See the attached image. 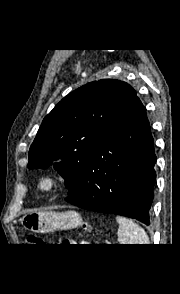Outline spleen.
<instances>
[{
	"label": "spleen",
	"instance_id": "1",
	"mask_svg": "<svg viewBox=\"0 0 180 294\" xmlns=\"http://www.w3.org/2000/svg\"><path fill=\"white\" fill-rule=\"evenodd\" d=\"M119 224L117 236L120 244H149V237L145 230L134 221L122 216H117Z\"/></svg>",
	"mask_w": 180,
	"mask_h": 294
}]
</instances>
